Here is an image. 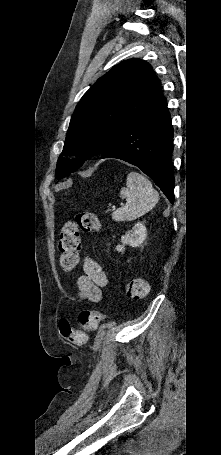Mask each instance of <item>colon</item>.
Returning <instances> with one entry per match:
<instances>
[{"label": "colon", "instance_id": "5ec220e1", "mask_svg": "<svg viewBox=\"0 0 221 455\" xmlns=\"http://www.w3.org/2000/svg\"><path fill=\"white\" fill-rule=\"evenodd\" d=\"M99 217L92 212H80L68 220L61 228L59 236V263L63 270H73L79 261L81 249L80 232L96 233L100 230ZM124 290L130 299H144L149 292V284L143 278H136L124 284ZM103 319V314L95 310H83L78 315L80 328L71 327L67 319L59 322L62 337L72 345H83L87 332L94 330Z\"/></svg>", "mask_w": 221, "mask_h": 455}]
</instances>
